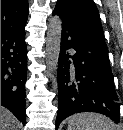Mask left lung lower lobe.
Returning <instances> with one entry per match:
<instances>
[{"label":"left lung lower lobe","instance_id":"obj_1","mask_svg":"<svg viewBox=\"0 0 123 130\" xmlns=\"http://www.w3.org/2000/svg\"><path fill=\"white\" fill-rule=\"evenodd\" d=\"M70 49H73L72 55ZM57 79L56 129L66 117L87 111L102 113L120 122V103L106 44L78 34L63 20Z\"/></svg>","mask_w":123,"mask_h":130}]
</instances>
